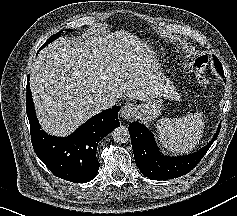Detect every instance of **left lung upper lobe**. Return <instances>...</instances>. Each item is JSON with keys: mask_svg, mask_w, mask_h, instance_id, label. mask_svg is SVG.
I'll use <instances>...</instances> for the list:
<instances>
[{"mask_svg": "<svg viewBox=\"0 0 237 216\" xmlns=\"http://www.w3.org/2000/svg\"><path fill=\"white\" fill-rule=\"evenodd\" d=\"M214 63H215V67L217 68V71L223 77L224 76L223 68L216 56H214Z\"/></svg>", "mask_w": 237, "mask_h": 216, "instance_id": "5c2ea615", "label": "left lung upper lobe"}]
</instances>
